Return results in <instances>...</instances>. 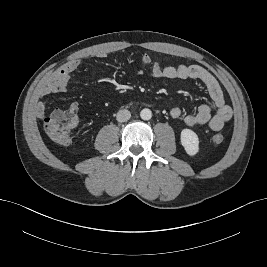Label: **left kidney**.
<instances>
[{
    "label": "left kidney",
    "mask_w": 267,
    "mask_h": 267,
    "mask_svg": "<svg viewBox=\"0 0 267 267\" xmlns=\"http://www.w3.org/2000/svg\"><path fill=\"white\" fill-rule=\"evenodd\" d=\"M181 144L186 153L194 156L199 152V138L191 129H183L181 131Z\"/></svg>",
    "instance_id": "5707ae66"
}]
</instances>
